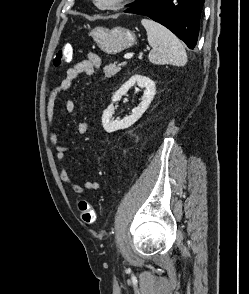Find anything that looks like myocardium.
I'll use <instances>...</instances> for the list:
<instances>
[{
	"instance_id": "1",
	"label": "myocardium",
	"mask_w": 249,
	"mask_h": 294,
	"mask_svg": "<svg viewBox=\"0 0 249 294\" xmlns=\"http://www.w3.org/2000/svg\"><path fill=\"white\" fill-rule=\"evenodd\" d=\"M132 0H117L111 4H101L98 0H93L94 4L101 10L118 11L127 6Z\"/></svg>"
}]
</instances>
